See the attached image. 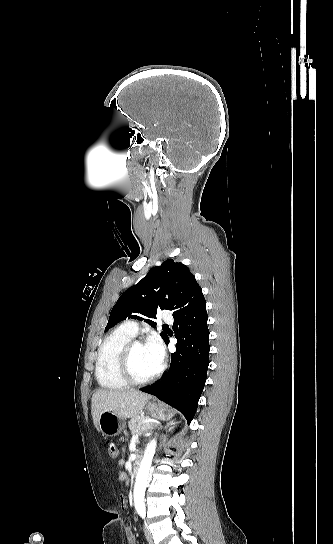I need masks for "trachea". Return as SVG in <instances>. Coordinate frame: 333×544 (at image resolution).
Instances as JSON below:
<instances>
[{
	"mask_svg": "<svg viewBox=\"0 0 333 544\" xmlns=\"http://www.w3.org/2000/svg\"><path fill=\"white\" fill-rule=\"evenodd\" d=\"M163 327H169L167 324L163 325Z\"/></svg>",
	"mask_w": 333,
	"mask_h": 544,
	"instance_id": "1",
	"label": "trachea"
}]
</instances>
